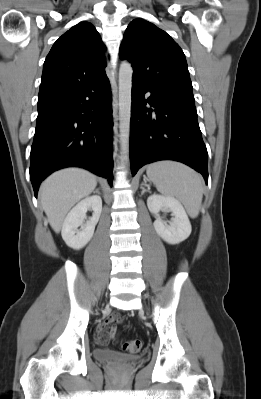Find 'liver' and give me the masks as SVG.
<instances>
[{"instance_id":"liver-1","label":"liver","mask_w":261,"mask_h":399,"mask_svg":"<svg viewBox=\"0 0 261 399\" xmlns=\"http://www.w3.org/2000/svg\"><path fill=\"white\" fill-rule=\"evenodd\" d=\"M96 176L79 168H67L50 175L40 186V200L52 229L59 233L69 210L90 195Z\"/></svg>"}]
</instances>
